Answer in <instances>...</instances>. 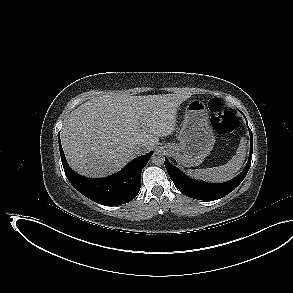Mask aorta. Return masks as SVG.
Instances as JSON below:
<instances>
[{
	"label": "aorta",
	"mask_w": 293,
	"mask_h": 293,
	"mask_svg": "<svg viewBox=\"0 0 293 293\" xmlns=\"http://www.w3.org/2000/svg\"><path fill=\"white\" fill-rule=\"evenodd\" d=\"M151 161L155 165L163 164L164 163V155H163V153L160 152V151L154 152L152 157H151Z\"/></svg>",
	"instance_id": "1"
}]
</instances>
